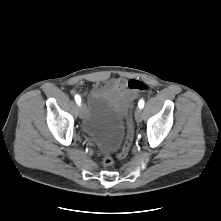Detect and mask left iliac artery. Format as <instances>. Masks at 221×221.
<instances>
[{
	"mask_svg": "<svg viewBox=\"0 0 221 221\" xmlns=\"http://www.w3.org/2000/svg\"><path fill=\"white\" fill-rule=\"evenodd\" d=\"M139 108H143L144 107V100H140L138 103Z\"/></svg>",
	"mask_w": 221,
	"mask_h": 221,
	"instance_id": "left-iliac-artery-1",
	"label": "left iliac artery"
}]
</instances>
